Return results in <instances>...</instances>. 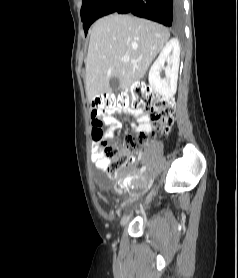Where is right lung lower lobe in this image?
Wrapping results in <instances>:
<instances>
[{
    "label": "right lung lower lobe",
    "instance_id": "right-lung-lower-lobe-1",
    "mask_svg": "<svg viewBox=\"0 0 238 278\" xmlns=\"http://www.w3.org/2000/svg\"><path fill=\"white\" fill-rule=\"evenodd\" d=\"M182 0H99L86 16L87 31L98 18L107 14L132 13L168 27H180L183 20Z\"/></svg>",
    "mask_w": 238,
    "mask_h": 278
}]
</instances>
